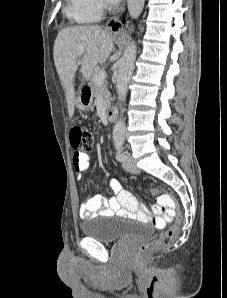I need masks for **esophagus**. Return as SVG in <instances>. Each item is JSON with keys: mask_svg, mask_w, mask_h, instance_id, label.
<instances>
[{"mask_svg": "<svg viewBox=\"0 0 227 298\" xmlns=\"http://www.w3.org/2000/svg\"><path fill=\"white\" fill-rule=\"evenodd\" d=\"M124 9H125V2H123V4L120 6L117 13L108 20L107 27L110 31L119 32L122 29V24L119 20V15L123 13Z\"/></svg>", "mask_w": 227, "mask_h": 298, "instance_id": "obj_1", "label": "esophagus"}]
</instances>
